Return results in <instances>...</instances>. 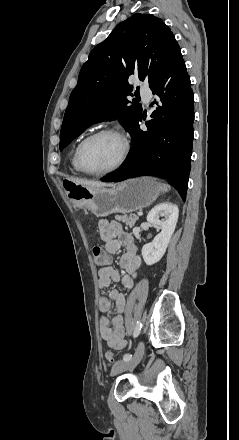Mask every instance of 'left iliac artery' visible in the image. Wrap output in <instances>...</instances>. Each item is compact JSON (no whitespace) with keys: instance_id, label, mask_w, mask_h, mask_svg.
I'll return each mask as SVG.
<instances>
[{"instance_id":"obj_1","label":"left iliac artery","mask_w":239,"mask_h":440,"mask_svg":"<svg viewBox=\"0 0 239 440\" xmlns=\"http://www.w3.org/2000/svg\"><path fill=\"white\" fill-rule=\"evenodd\" d=\"M141 328H142V323H141V321H138L136 324V327L134 329V332H133L134 338L138 337V335L140 334ZM131 358H132V354H129V353H127L123 356V360H129Z\"/></svg>"}]
</instances>
